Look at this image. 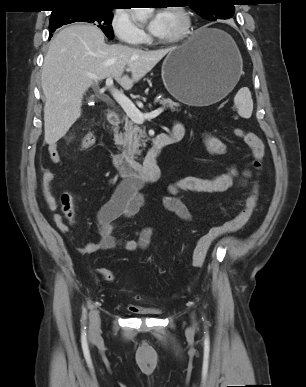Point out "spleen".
Listing matches in <instances>:
<instances>
[{
	"instance_id": "spleen-1",
	"label": "spleen",
	"mask_w": 306,
	"mask_h": 387,
	"mask_svg": "<svg viewBox=\"0 0 306 387\" xmlns=\"http://www.w3.org/2000/svg\"><path fill=\"white\" fill-rule=\"evenodd\" d=\"M234 104L242 118H250L253 111L251 92L247 87L241 88L234 97Z\"/></svg>"
}]
</instances>
